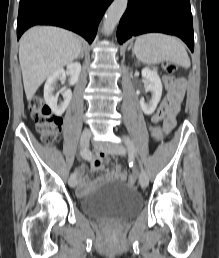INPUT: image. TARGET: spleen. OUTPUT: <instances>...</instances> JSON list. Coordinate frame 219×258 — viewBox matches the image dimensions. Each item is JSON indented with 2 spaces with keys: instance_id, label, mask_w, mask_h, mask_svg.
I'll return each mask as SVG.
<instances>
[{
  "instance_id": "obj_1",
  "label": "spleen",
  "mask_w": 219,
  "mask_h": 258,
  "mask_svg": "<svg viewBox=\"0 0 219 258\" xmlns=\"http://www.w3.org/2000/svg\"><path fill=\"white\" fill-rule=\"evenodd\" d=\"M133 53L147 64L168 60L182 67H190V59L183 42L169 35L148 33L137 37Z\"/></svg>"
}]
</instances>
